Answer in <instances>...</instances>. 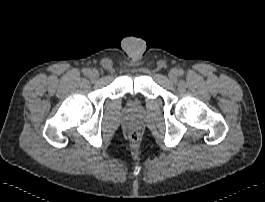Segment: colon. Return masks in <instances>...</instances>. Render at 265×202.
<instances>
[{"instance_id":"5ec220e1","label":"colon","mask_w":265,"mask_h":202,"mask_svg":"<svg viewBox=\"0 0 265 202\" xmlns=\"http://www.w3.org/2000/svg\"><path fill=\"white\" fill-rule=\"evenodd\" d=\"M130 139L134 142L139 140V134L137 132H131L130 133Z\"/></svg>"}]
</instances>
